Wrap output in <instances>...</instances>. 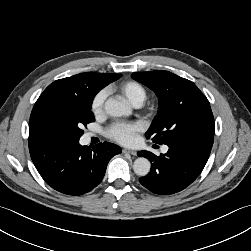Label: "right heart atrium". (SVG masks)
<instances>
[{
    "label": "right heart atrium",
    "mask_w": 251,
    "mask_h": 251,
    "mask_svg": "<svg viewBox=\"0 0 251 251\" xmlns=\"http://www.w3.org/2000/svg\"><path fill=\"white\" fill-rule=\"evenodd\" d=\"M108 96V91L106 89L99 90L91 101V111L95 115H100L103 112L104 104Z\"/></svg>",
    "instance_id": "d8ad5b80"
}]
</instances>
